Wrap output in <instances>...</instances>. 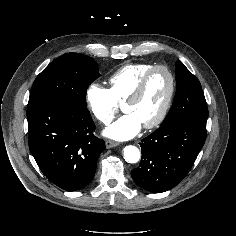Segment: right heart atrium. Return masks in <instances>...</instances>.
<instances>
[{
  "label": "right heart atrium",
  "mask_w": 236,
  "mask_h": 236,
  "mask_svg": "<svg viewBox=\"0 0 236 236\" xmlns=\"http://www.w3.org/2000/svg\"><path fill=\"white\" fill-rule=\"evenodd\" d=\"M86 103L94 119L105 125L112 121L119 107L110 90L98 83H92L87 88Z\"/></svg>",
  "instance_id": "obj_1"
}]
</instances>
